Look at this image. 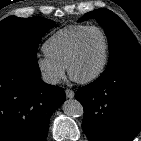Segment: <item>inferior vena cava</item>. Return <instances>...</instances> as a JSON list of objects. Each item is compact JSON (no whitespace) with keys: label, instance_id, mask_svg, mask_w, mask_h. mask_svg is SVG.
<instances>
[{"label":"inferior vena cava","instance_id":"1","mask_svg":"<svg viewBox=\"0 0 141 141\" xmlns=\"http://www.w3.org/2000/svg\"><path fill=\"white\" fill-rule=\"evenodd\" d=\"M42 80L47 83V84H51V85H56L59 83L60 79L51 73H43L42 74Z\"/></svg>","mask_w":141,"mask_h":141}]
</instances>
